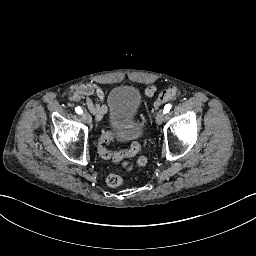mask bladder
Instances as JSON below:
<instances>
[{
  "instance_id": "bladder-1",
  "label": "bladder",
  "mask_w": 256,
  "mask_h": 256,
  "mask_svg": "<svg viewBox=\"0 0 256 256\" xmlns=\"http://www.w3.org/2000/svg\"><path fill=\"white\" fill-rule=\"evenodd\" d=\"M110 110L107 115V123L115 124L130 120L140 109L141 96L136 87L125 86L115 88L108 96Z\"/></svg>"
}]
</instances>
